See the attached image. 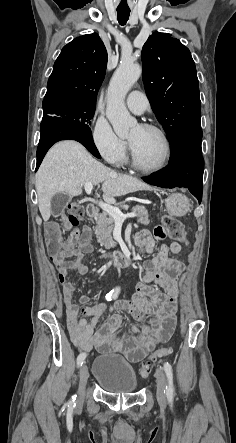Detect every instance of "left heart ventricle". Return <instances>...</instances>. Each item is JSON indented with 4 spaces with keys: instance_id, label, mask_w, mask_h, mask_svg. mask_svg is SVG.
Instances as JSON below:
<instances>
[{
    "instance_id": "1",
    "label": "left heart ventricle",
    "mask_w": 236,
    "mask_h": 443,
    "mask_svg": "<svg viewBox=\"0 0 236 443\" xmlns=\"http://www.w3.org/2000/svg\"><path fill=\"white\" fill-rule=\"evenodd\" d=\"M128 140L142 165L153 168L160 165L164 160L165 143L157 132L144 129L138 125L132 130Z\"/></svg>"
}]
</instances>
